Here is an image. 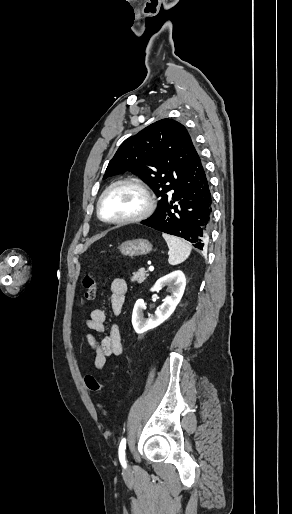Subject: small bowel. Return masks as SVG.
Segmentation results:
<instances>
[{
    "label": "small bowel",
    "instance_id": "obj_1",
    "mask_svg": "<svg viewBox=\"0 0 292 514\" xmlns=\"http://www.w3.org/2000/svg\"><path fill=\"white\" fill-rule=\"evenodd\" d=\"M127 289V283L124 279L115 278L111 281L110 307L114 314L121 313ZM105 321L106 311L100 308L93 309L85 321L86 326L90 330L96 331L102 335L100 338H96L89 332L83 335L90 348L93 364L98 370L104 368L109 357L119 356L123 353L119 325L112 323L107 327Z\"/></svg>",
    "mask_w": 292,
    "mask_h": 514
}]
</instances>
